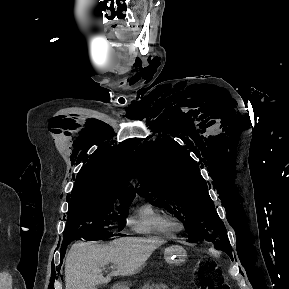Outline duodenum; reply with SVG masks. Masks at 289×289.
Segmentation results:
<instances>
[{"instance_id":"duodenum-1","label":"duodenum","mask_w":289,"mask_h":289,"mask_svg":"<svg viewBox=\"0 0 289 289\" xmlns=\"http://www.w3.org/2000/svg\"><path fill=\"white\" fill-rule=\"evenodd\" d=\"M113 289H122L120 285L114 286Z\"/></svg>"}]
</instances>
